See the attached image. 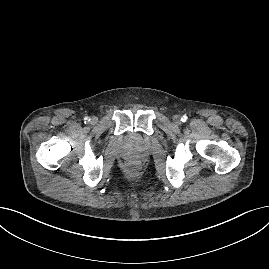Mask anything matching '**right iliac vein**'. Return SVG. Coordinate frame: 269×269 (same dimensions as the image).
<instances>
[{
  "label": "right iliac vein",
  "instance_id": "63e3f726",
  "mask_svg": "<svg viewBox=\"0 0 269 269\" xmlns=\"http://www.w3.org/2000/svg\"><path fill=\"white\" fill-rule=\"evenodd\" d=\"M97 123V118L96 117H92L91 118V124H96Z\"/></svg>",
  "mask_w": 269,
  "mask_h": 269
}]
</instances>
